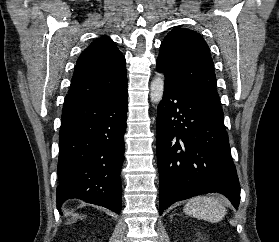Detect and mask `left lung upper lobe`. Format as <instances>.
Returning <instances> with one entry per match:
<instances>
[{
    "mask_svg": "<svg viewBox=\"0 0 279 242\" xmlns=\"http://www.w3.org/2000/svg\"><path fill=\"white\" fill-rule=\"evenodd\" d=\"M157 62L163 63L173 77L197 91L223 113L210 50L197 32L189 29L170 31L161 44Z\"/></svg>",
    "mask_w": 279,
    "mask_h": 242,
    "instance_id": "5c2ea615",
    "label": "left lung upper lobe"
}]
</instances>
